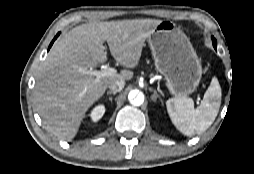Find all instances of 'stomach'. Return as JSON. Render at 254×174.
Masks as SVG:
<instances>
[{"label": "stomach", "instance_id": "stomach-1", "mask_svg": "<svg viewBox=\"0 0 254 174\" xmlns=\"http://www.w3.org/2000/svg\"><path fill=\"white\" fill-rule=\"evenodd\" d=\"M155 66L176 97H186L198 87L201 62L189 38L172 21H162L148 37Z\"/></svg>", "mask_w": 254, "mask_h": 174}]
</instances>
